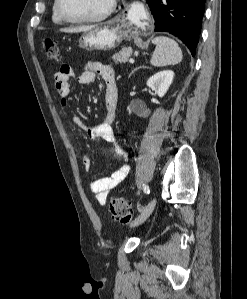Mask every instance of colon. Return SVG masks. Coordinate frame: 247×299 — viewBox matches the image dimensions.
Returning a JSON list of instances; mask_svg holds the SVG:
<instances>
[{"label": "colon", "instance_id": "1", "mask_svg": "<svg viewBox=\"0 0 247 299\" xmlns=\"http://www.w3.org/2000/svg\"><path fill=\"white\" fill-rule=\"evenodd\" d=\"M45 56L49 61L59 60V49L57 43L52 39L44 41ZM111 217L122 224H128L132 220L131 203L123 198H113L109 203Z\"/></svg>", "mask_w": 247, "mask_h": 299}]
</instances>
